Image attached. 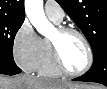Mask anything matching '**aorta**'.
I'll use <instances>...</instances> for the list:
<instances>
[{
  "label": "aorta",
  "instance_id": "762f6f07",
  "mask_svg": "<svg viewBox=\"0 0 107 89\" xmlns=\"http://www.w3.org/2000/svg\"><path fill=\"white\" fill-rule=\"evenodd\" d=\"M25 13L41 35L48 37L54 32L53 24L45 16L43 0H25Z\"/></svg>",
  "mask_w": 107,
  "mask_h": 89
}]
</instances>
